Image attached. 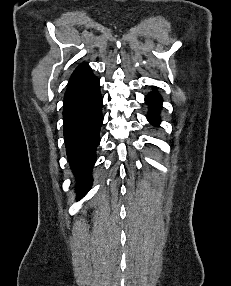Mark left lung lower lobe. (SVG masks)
I'll use <instances>...</instances> for the list:
<instances>
[{
    "instance_id": "obj_1",
    "label": "left lung lower lobe",
    "mask_w": 231,
    "mask_h": 286,
    "mask_svg": "<svg viewBox=\"0 0 231 286\" xmlns=\"http://www.w3.org/2000/svg\"><path fill=\"white\" fill-rule=\"evenodd\" d=\"M145 102L150 107V113L147 116L148 121L154 125L160 124V119L158 116V112L162 107V100L160 95L157 92L150 93L146 96Z\"/></svg>"
}]
</instances>
